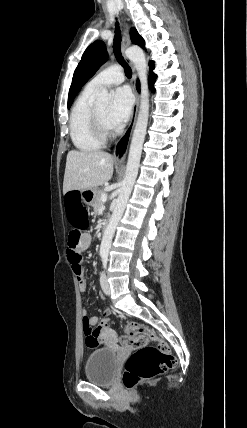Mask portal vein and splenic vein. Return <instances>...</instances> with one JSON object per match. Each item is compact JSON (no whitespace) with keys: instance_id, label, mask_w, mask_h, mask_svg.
Segmentation results:
<instances>
[{"instance_id":"1","label":"portal vein and splenic vein","mask_w":247,"mask_h":428,"mask_svg":"<svg viewBox=\"0 0 247 428\" xmlns=\"http://www.w3.org/2000/svg\"><path fill=\"white\" fill-rule=\"evenodd\" d=\"M101 200H102V202H106L107 201V195L106 194L102 195Z\"/></svg>"}]
</instances>
